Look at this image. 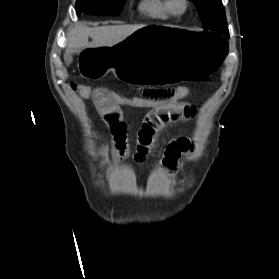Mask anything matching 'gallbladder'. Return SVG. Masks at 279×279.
Listing matches in <instances>:
<instances>
[{"label": "gallbladder", "instance_id": "1", "mask_svg": "<svg viewBox=\"0 0 279 279\" xmlns=\"http://www.w3.org/2000/svg\"><path fill=\"white\" fill-rule=\"evenodd\" d=\"M64 60H65V63H66L67 65L71 64L72 61H73L72 54H65V55H64Z\"/></svg>", "mask_w": 279, "mask_h": 279}]
</instances>
